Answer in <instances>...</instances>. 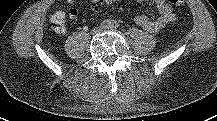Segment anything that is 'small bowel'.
I'll return each mask as SVG.
<instances>
[{"mask_svg": "<svg viewBox=\"0 0 217 121\" xmlns=\"http://www.w3.org/2000/svg\"><path fill=\"white\" fill-rule=\"evenodd\" d=\"M100 0H91V2L96 3ZM107 4H114L120 0H103ZM137 2H143L146 0H135ZM69 5H72L74 0H66ZM157 9L159 11V16L156 19H151L145 15H138L135 17V23L148 32H157L165 25L175 20V13L173 8L168 3V0H155ZM68 16L70 19L74 20L78 16V11L75 8H69Z\"/></svg>", "mask_w": 217, "mask_h": 121, "instance_id": "small-bowel-1", "label": "small bowel"}]
</instances>
